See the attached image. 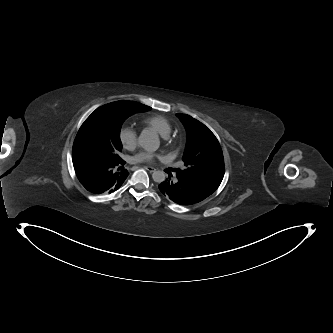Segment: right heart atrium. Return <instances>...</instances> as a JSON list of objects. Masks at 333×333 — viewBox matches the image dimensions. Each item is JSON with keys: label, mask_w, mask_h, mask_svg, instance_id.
Listing matches in <instances>:
<instances>
[{"label": "right heart atrium", "mask_w": 333, "mask_h": 333, "mask_svg": "<svg viewBox=\"0 0 333 333\" xmlns=\"http://www.w3.org/2000/svg\"><path fill=\"white\" fill-rule=\"evenodd\" d=\"M119 139L126 150H133L137 146L138 136L133 127L125 126L119 131Z\"/></svg>", "instance_id": "1"}]
</instances>
